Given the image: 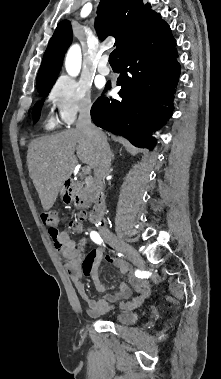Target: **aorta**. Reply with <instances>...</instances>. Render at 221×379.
Returning <instances> with one entry per match:
<instances>
[{"instance_id": "1", "label": "aorta", "mask_w": 221, "mask_h": 379, "mask_svg": "<svg viewBox=\"0 0 221 379\" xmlns=\"http://www.w3.org/2000/svg\"><path fill=\"white\" fill-rule=\"evenodd\" d=\"M81 60H82V55H81L80 47L78 45H73L69 49L66 59H65V67L69 75L71 76L78 75L81 68Z\"/></svg>"}]
</instances>
